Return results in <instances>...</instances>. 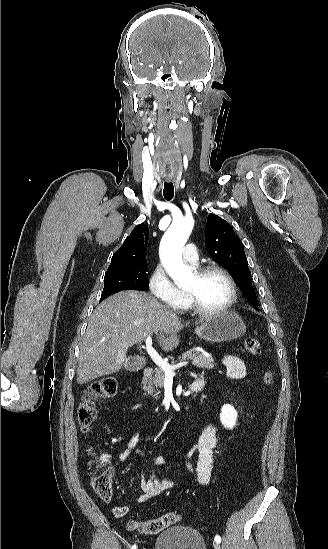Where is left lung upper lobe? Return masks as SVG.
I'll return each mask as SVG.
<instances>
[{"mask_svg": "<svg viewBox=\"0 0 328 549\" xmlns=\"http://www.w3.org/2000/svg\"><path fill=\"white\" fill-rule=\"evenodd\" d=\"M205 245L214 260L232 274L245 296L257 309V297L252 287V277L244 247L233 227L221 217L213 213L209 214Z\"/></svg>", "mask_w": 328, "mask_h": 549, "instance_id": "1", "label": "left lung upper lobe"}]
</instances>
